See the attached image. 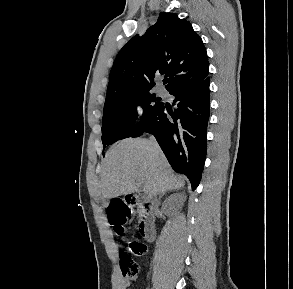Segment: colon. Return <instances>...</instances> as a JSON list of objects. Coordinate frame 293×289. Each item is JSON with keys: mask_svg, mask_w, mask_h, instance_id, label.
<instances>
[{"mask_svg": "<svg viewBox=\"0 0 293 289\" xmlns=\"http://www.w3.org/2000/svg\"><path fill=\"white\" fill-rule=\"evenodd\" d=\"M131 210L121 202H113L108 212V218L118 234L124 233V221ZM126 251H121L119 258L124 276L133 278L139 273V265L131 256L140 257L146 253V246L138 241H127Z\"/></svg>", "mask_w": 293, "mask_h": 289, "instance_id": "1", "label": "colon"}]
</instances>
